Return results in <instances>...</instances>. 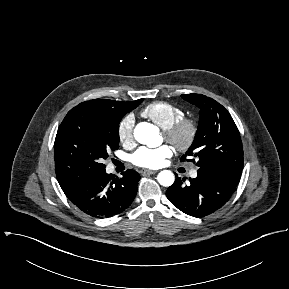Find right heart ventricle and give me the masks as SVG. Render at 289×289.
I'll list each match as a JSON object with an SVG mask.
<instances>
[{"instance_id": "right-heart-ventricle-1", "label": "right heart ventricle", "mask_w": 289, "mask_h": 289, "mask_svg": "<svg viewBox=\"0 0 289 289\" xmlns=\"http://www.w3.org/2000/svg\"><path fill=\"white\" fill-rule=\"evenodd\" d=\"M141 114L163 130L168 129L184 117V111L181 107L164 101L150 103L142 110Z\"/></svg>"}]
</instances>
